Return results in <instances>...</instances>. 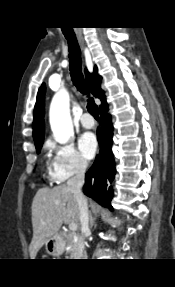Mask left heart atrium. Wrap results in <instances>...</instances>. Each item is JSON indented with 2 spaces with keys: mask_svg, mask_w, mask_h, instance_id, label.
Masks as SVG:
<instances>
[{
  "mask_svg": "<svg viewBox=\"0 0 175 287\" xmlns=\"http://www.w3.org/2000/svg\"><path fill=\"white\" fill-rule=\"evenodd\" d=\"M78 144L81 153L88 159L94 156L98 147L96 137L91 132L82 134L79 138Z\"/></svg>",
  "mask_w": 175,
  "mask_h": 287,
  "instance_id": "left-heart-atrium-1",
  "label": "left heart atrium"
}]
</instances>
